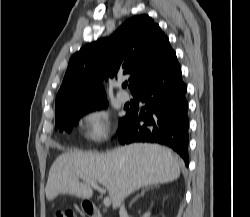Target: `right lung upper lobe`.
Segmentation results:
<instances>
[{
  "instance_id": "cb5924a9",
  "label": "right lung upper lobe",
  "mask_w": 250,
  "mask_h": 217,
  "mask_svg": "<svg viewBox=\"0 0 250 217\" xmlns=\"http://www.w3.org/2000/svg\"><path fill=\"white\" fill-rule=\"evenodd\" d=\"M174 55L168 38L148 15L129 19L108 39L90 43L71 57L56 96V118L104 102L102 82L108 77L130 75L133 92Z\"/></svg>"
}]
</instances>
